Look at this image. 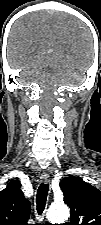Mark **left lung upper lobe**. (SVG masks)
<instances>
[{
  "instance_id": "obj_1",
  "label": "left lung upper lobe",
  "mask_w": 101,
  "mask_h": 225,
  "mask_svg": "<svg viewBox=\"0 0 101 225\" xmlns=\"http://www.w3.org/2000/svg\"><path fill=\"white\" fill-rule=\"evenodd\" d=\"M64 202L71 208L70 224L101 225V192L80 177L61 180Z\"/></svg>"
}]
</instances>
